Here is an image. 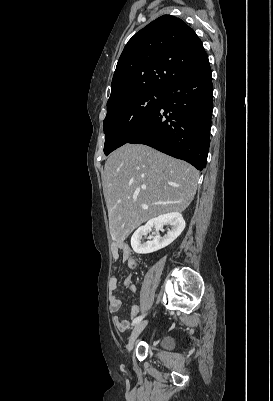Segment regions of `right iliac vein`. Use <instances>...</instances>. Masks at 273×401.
<instances>
[{
    "label": "right iliac vein",
    "instance_id": "obj_1",
    "mask_svg": "<svg viewBox=\"0 0 273 401\" xmlns=\"http://www.w3.org/2000/svg\"><path fill=\"white\" fill-rule=\"evenodd\" d=\"M147 323H148V321L145 320V321H141V322H139V323H137V324L135 325V327H134V329L132 330V333H131V335H130L128 344H127V352H128V354H129V353L131 352V350L133 349L135 340L137 339V337L139 336V334L143 331V329L146 327Z\"/></svg>",
    "mask_w": 273,
    "mask_h": 401
}]
</instances>
